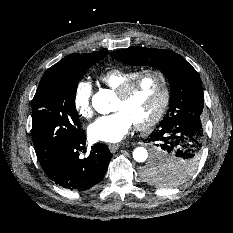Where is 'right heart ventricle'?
<instances>
[{
    "mask_svg": "<svg viewBox=\"0 0 233 233\" xmlns=\"http://www.w3.org/2000/svg\"><path fill=\"white\" fill-rule=\"evenodd\" d=\"M138 72L136 69L112 67L98 75V80L105 86L117 90L125 81Z\"/></svg>",
    "mask_w": 233,
    "mask_h": 233,
    "instance_id": "right-heart-ventricle-1",
    "label": "right heart ventricle"
}]
</instances>
